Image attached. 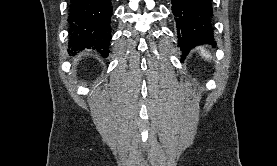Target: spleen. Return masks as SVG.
Listing matches in <instances>:
<instances>
[{
    "instance_id": "spleen-1",
    "label": "spleen",
    "mask_w": 277,
    "mask_h": 166,
    "mask_svg": "<svg viewBox=\"0 0 277 166\" xmlns=\"http://www.w3.org/2000/svg\"><path fill=\"white\" fill-rule=\"evenodd\" d=\"M200 54L202 57H204L206 59L210 58L209 54L206 52V50L204 48H200Z\"/></svg>"
}]
</instances>
